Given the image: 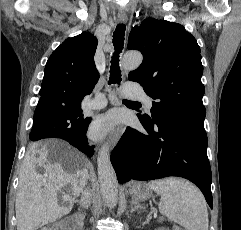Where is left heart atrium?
<instances>
[{"mask_svg": "<svg viewBox=\"0 0 241 230\" xmlns=\"http://www.w3.org/2000/svg\"><path fill=\"white\" fill-rule=\"evenodd\" d=\"M117 122L118 114L115 111L97 116L90 125V137L96 140L103 138L115 127Z\"/></svg>", "mask_w": 241, "mask_h": 230, "instance_id": "39dd6f15", "label": "left heart atrium"}]
</instances>
